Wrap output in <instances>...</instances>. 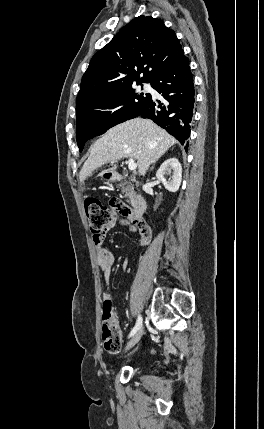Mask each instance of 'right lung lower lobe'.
I'll list each match as a JSON object with an SVG mask.
<instances>
[{
  "label": "right lung lower lobe",
  "mask_w": 264,
  "mask_h": 429,
  "mask_svg": "<svg viewBox=\"0 0 264 429\" xmlns=\"http://www.w3.org/2000/svg\"><path fill=\"white\" fill-rule=\"evenodd\" d=\"M150 83L164 99L151 97L138 116L166 129L187 151L195 92L189 60L183 50Z\"/></svg>",
  "instance_id": "right-lung-lower-lobe-1"
}]
</instances>
